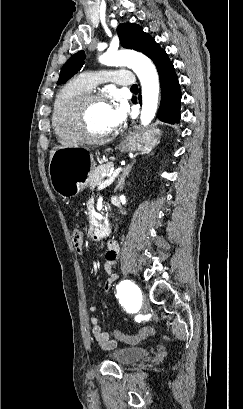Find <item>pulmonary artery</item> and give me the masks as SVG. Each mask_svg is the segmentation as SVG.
<instances>
[{
    "label": "pulmonary artery",
    "mask_w": 243,
    "mask_h": 409,
    "mask_svg": "<svg viewBox=\"0 0 243 409\" xmlns=\"http://www.w3.org/2000/svg\"><path fill=\"white\" fill-rule=\"evenodd\" d=\"M80 78L91 89L106 81H111L117 85L126 87H131L135 84L134 76L127 70L101 71L95 73L86 72L83 73Z\"/></svg>",
    "instance_id": "e3ab8cb5"
}]
</instances>
